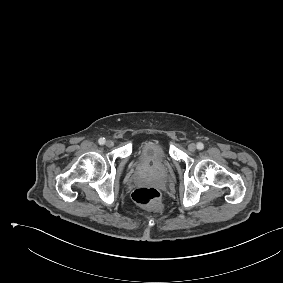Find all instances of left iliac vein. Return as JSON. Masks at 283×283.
Listing matches in <instances>:
<instances>
[{
    "mask_svg": "<svg viewBox=\"0 0 283 283\" xmlns=\"http://www.w3.org/2000/svg\"><path fill=\"white\" fill-rule=\"evenodd\" d=\"M188 150H189L190 152H194V151L196 150V145H195L194 143H190V144L188 145Z\"/></svg>",
    "mask_w": 283,
    "mask_h": 283,
    "instance_id": "left-iliac-vein-1",
    "label": "left iliac vein"
}]
</instances>
